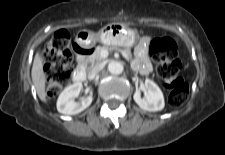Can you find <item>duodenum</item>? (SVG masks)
Listing matches in <instances>:
<instances>
[{"instance_id": "obj_1", "label": "duodenum", "mask_w": 225, "mask_h": 155, "mask_svg": "<svg viewBox=\"0 0 225 155\" xmlns=\"http://www.w3.org/2000/svg\"><path fill=\"white\" fill-rule=\"evenodd\" d=\"M76 52H77L78 66L76 67L73 73V82L79 84L84 82L86 78L84 59L91 53V50L83 46H76Z\"/></svg>"}]
</instances>
